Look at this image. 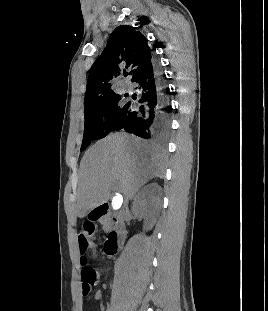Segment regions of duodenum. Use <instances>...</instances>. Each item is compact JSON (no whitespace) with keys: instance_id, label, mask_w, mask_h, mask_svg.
<instances>
[{"instance_id":"obj_1","label":"duodenum","mask_w":268,"mask_h":311,"mask_svg":"<svg viewBox=\"0 0 268 311\" xmlns=\"http://www.w3.org/2000/svg\"><path fill=\"white\" fill-rule=\"evenodd\" d=\"M108 210V203L101 204L93 209V211L91 212V218L94 221H103L107 216ZM113 224L114 226L109 231L104 244V249L106 253L110 256L116 254L119 251L124 236L122 220L118 217H115L113 218Z\"/></svg>"}]
</instances>
